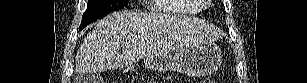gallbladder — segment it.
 <instances>
[{"label": "gallbladder", "instance_id": "1", "mask_svg": "<svg viewBox=\"0 0 307 83\" xmlns=\"http://www.w3.org/2000/svg\"><path fill=\"white\" fill-rule=\"evenodd\" d=\"M101 76L96 73L86 74L85 78L82 80L83 83H98L101 81Z\"/></svg>", "mask_w": 307, "mask_h": 83}]
</instances>
